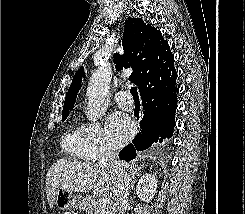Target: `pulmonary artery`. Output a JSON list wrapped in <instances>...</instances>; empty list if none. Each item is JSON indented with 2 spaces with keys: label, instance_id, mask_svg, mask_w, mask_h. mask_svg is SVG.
<instances>
[{
  "label": "pulmonary artery",
  "instance_id": "obj_1",
  "mask_svg": "<svg viewBox=\"0 0 245 214\" xmlns=\"http://www.w3.org/2000/svg\"><path fill=\"white\" fill-rule=\"evenodd\" d=\"M115 102L125 110H132L134 108L133 98L127 91H120L114 96Z\"/></svg>",
  "mask_w": 245,
  "mask_h": 214
}]
</instances>
